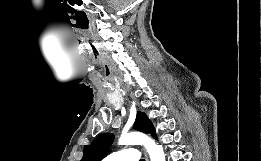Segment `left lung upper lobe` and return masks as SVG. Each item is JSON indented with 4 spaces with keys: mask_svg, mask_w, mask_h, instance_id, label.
Masks as SVG:
<instances>
[{
    "mask_svg": "<svg viewBox=\"0 0 261 161\" xmlns=\"http://www.w3.org/2000/svg\"><path fill=\"white\" fill-rule=\"evenodd\" d=\"M134 128L143 133H149L156 138V133L151 121L145 113L138 111ZM114 140L111 133L101 134L90 145L84 146V156L81 161H100L110 150Z\"/></svg>",
    "mask_w": 261,
    "mask_h": 161,
    "instance_id": "obj_1",
    "label": "left lung upper lobe"
}]
</instances>
